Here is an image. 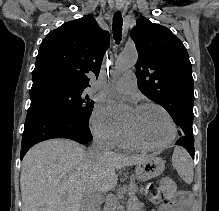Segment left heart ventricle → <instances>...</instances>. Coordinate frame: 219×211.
Instances as JSON below:
<instances>
[{
	"mask_svg": "<svg viewBox=\"0 0 219 211\" xmlns=\"http://www.w3.org/2000/svg\"><path fill=\"white\" fill-rule=\"evenodd\" d=\"M122 122L141 141L148 144H162L171 134V126L167 116L158 108L146 106L130 108Z\"/></svg>",
	"mask_w": 219,
	"mask_h": 211,
	"instance_id": "left-heart-ventricle-1",
	"label": "left heart ventricle"
}]
</instances>
